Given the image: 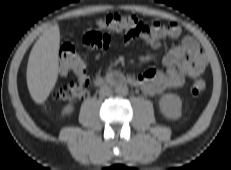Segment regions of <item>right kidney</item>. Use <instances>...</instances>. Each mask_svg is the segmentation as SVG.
<instances>
[{
	"instance_id": "1",
	"label": "right kidney",
	"mask_w": 231,
	"mask_h": 170,
	"mask_svg": "<svg viewBox=\"0 0 231 170\" xmlns=\"http://www.w3.org/2000/svg\"><path fill=\"white\" fill-rule=\"evenodd\" d=\"M73 110H74L73 105H67L63 109V114L64 115H70L73 112Z\"/></svg>"
}]
</instances>
